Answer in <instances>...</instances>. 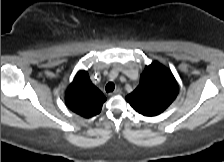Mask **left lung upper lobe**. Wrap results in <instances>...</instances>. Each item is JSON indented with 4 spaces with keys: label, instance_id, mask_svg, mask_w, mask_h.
Segmentation results:
<instances>
[{
    "label": "left lung upper lobe",
    "instance_id": "5c2ea615",
    "mask_svg": "<svg viewBox=\"0 0 224 162\" xmlns=\"http://www.w3.org/2000/svg\"><path fill=\"white\" fill-rule=\"evenodd\" d=\"M178 91V84L171 71L153 62L145 67L140 76V84L126 100L138 113L156 116L175 100Z\"/></svg>",
    "mask_w": 224,
    "mask_h": 162
}]
</instances>
